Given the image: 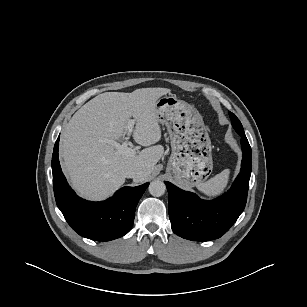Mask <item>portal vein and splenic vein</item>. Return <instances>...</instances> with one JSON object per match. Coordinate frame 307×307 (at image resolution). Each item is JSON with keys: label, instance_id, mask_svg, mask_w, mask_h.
<instances>
[{"label": "portal vein and splenic vein", "instance_id": "portal-vein-and-splenic-vein-1", "mask_svg": "<svg viewBox=\"0 0 307 307\" xmlns=\"http://www.w3.org/2000/svg\"><path fill=\"white\" fill-rule=\"evenodd\" d=\"M135 121L134 120H129L127 124V137L125 138V141L123 144H119L118 142L114 140H106L105 142L111 144L117 151L118 154L121 155H126V156H135L136 155V150L129 148V137L131 133L133 132Z\"/></svg>", "mask_w": 307, "mask_h": 307}]
</instances>
